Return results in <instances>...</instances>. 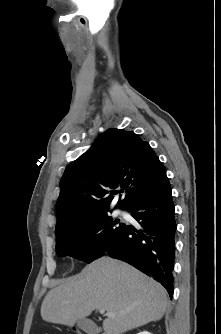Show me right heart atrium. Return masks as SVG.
Returning a JSON list of instances; mask_svg holds the SVG:
<instances>
[{
    "label": "right heart atrium",
    "mask_w": 221,
    "mask_h": 334,
    "mask_svg": "<svg viewBox=\"0 0 221 334\" xmlns=\"http://www.w3.org/2000/svg\"><path fill=\"white\" fill-rule=\"evenodd\" d=\"M87 240L93 245H95L99 240V235L97 233H92L88 235Z\"/></svg>",
    "instance_id": "d8ad5b80"
}]
</instances>
